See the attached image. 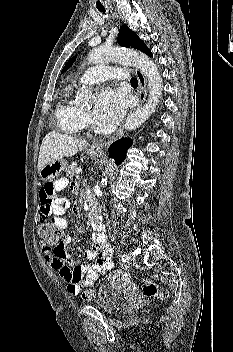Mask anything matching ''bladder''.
<instances>
[{"label":"bladder","mask_w":233,"mask_h":352,"mask_svg":"<svg viewBox=\"0 0 233 352\" xmlns=\"http://www.w3.org/2000/svg\"><path fill=\"white\" fill-rule=\"evenodd\" d=\"M125 302L121 292L109 285H103L96 292L94 304L106 313H115L123 308Z\"/></svg>","instance_id":"bladder-1"}]
</instances>
